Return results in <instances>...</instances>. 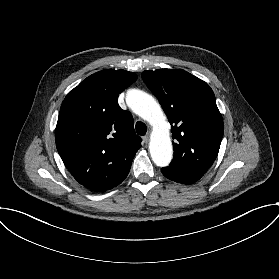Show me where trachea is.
I'll list each match as a JSON object with an SVG mask.
<instances>
[{
  "mask_svg": "<svg viewBox=\"0 0 279 279\" xmlns=\"http://www.w3.org/2000/svg\"><path fill=\"white\" fill-rule=\"evenodd\" d=\"M136 131L139 135H145L147 132L146 125L143 122H137L136 123Z\"/></svg>",
  "mask_w": 279,
  "mask_h": 279,
  "instance_id": "obj_1",
  "label": "trachea"
}]
</instances>
